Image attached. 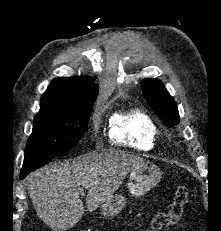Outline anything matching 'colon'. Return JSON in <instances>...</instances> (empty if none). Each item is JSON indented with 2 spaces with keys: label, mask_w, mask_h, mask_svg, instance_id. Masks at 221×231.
Segmentation results:
<instances>
[{
  "label": "colon",
  "mask_w": 221,
  "mask_h": 231,
  "mask_svg": "<svg viewBox=\"0 0 221 231\" xmlns=\"http://www.w3.org/2000/svg\"><path fill=\"white\" fill-rule=\"evenodd\" d=\"M187 202V187L184 185H178L173 192V199L168 209L156 214L151 219L149 223V231H160L175 225L182 217Z\"/></svg>",
  "instance_id": "1"
}]
</instances>
